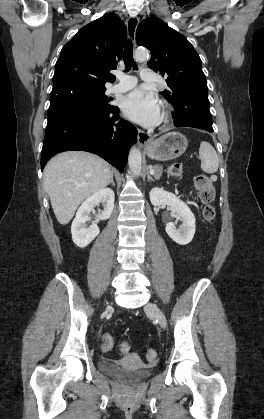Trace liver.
I'll return each instance as SVG.
<instances>
[{"label": "liver", "instance_id": "obj_1", "mask_svg": "<svg viewBox=\"0 0 264 419\" xmlns=\"http://www.w3.org/2000/svg\"><path fill=\"white\" fill-rule=\"evenodd\" d=\"M112 172L102 158L83 151L53 157L44 169V186L58 222L66 225L84 199L104 189Z\"/></svg>", "mask_w": 264, "mask_h": 419}]
</instances>
